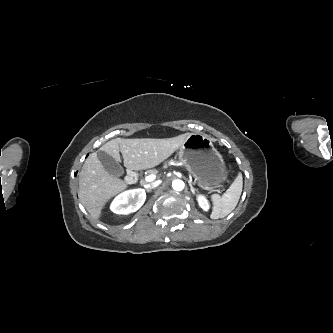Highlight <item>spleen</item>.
<instances>
[{"label":"spleen","mask_w":333,"mask_h":333,"mask_svg":"<svg viewBox=\"0 0 333 333\" xmlns=\"http://www.w3.org/2000/svg\"><path fill=\"white\" fill-rule=\"evenodd\" d=\"M243 178L241 174L235 178L234 182L228 188V190L220 196L219 194H213L211 200L213 203L211 219L224 218L230 214L237 206L239 198L242 193Z\"/></svg>","instance_id":"1"}]
</instances>
